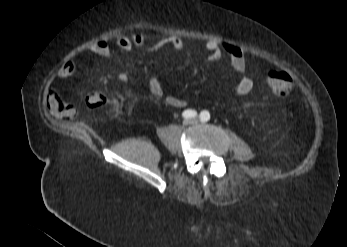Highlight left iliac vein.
Wrapping results in <instances>:
<instances>
[{"label": "left iliac vein", "instance_id": "obj_1", "mask_svg": "<svg viewBox=\"0 0 347 247\" xmlns=\"http://www.w3.org/2000/svg\"><path fill=\"white\" fill-rule=\"evenodd\" d=\"M198 123V120L197 119H193L192 120V124H197Z\"/></svg>", "mask_w": 347, "mask_h": 247}]
</instances>
